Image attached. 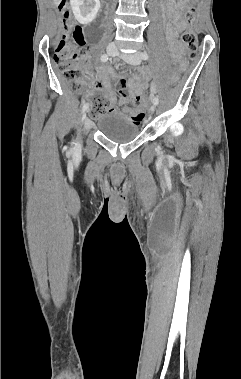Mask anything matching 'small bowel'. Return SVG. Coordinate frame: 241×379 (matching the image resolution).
Wrapping results in <instances>:
<instances>
[{
	"label": "small bowel",
	"mask_w": 241,
	"mask_h": 379,
	"mask_svg": "<svg viewBox=\"0 0 241 379\" xmlns=\"http://www.w3.org/2000/svg\"><path fill=\"white\" fill-rule=\"evenodd\" d=\"M165 9L169 18L167 38L172 48V57L175 61H179L181 58V49L177 42V35L185 29L186 23L182 19L180 11L174 8L171 3H167ZM97 76L98 79L96 81H88V86L98 91H105L111 102H115L116 97L110 89V81L115 79L117 83L123 85V80L121 78H112L110 76V70L103 66L97 68ZM127 87L128 89L124 87L125 94H121L119 100L121 112L127 118L131 119L132 125H143L144 121L149 117V110H141L145 103H142L139 98V93L144 92L146 88L145 76L142 75L131 78L127 82Z\"/></svg>",
	"instance_id": "c3829d8e"
}]
</instances>
